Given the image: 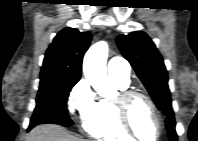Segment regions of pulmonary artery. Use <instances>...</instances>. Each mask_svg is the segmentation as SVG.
<instances>
[{
  "instance_id": "pulmonary-artery-1",
  "label": "pulmonary artery",
  "mask_w": 198,
  "mask_h": 141,
  "mask_svg": "<svg viewBox=\"0 0 198 141\" xmlns=\"http://www.w3.org/2000/svg\"><path fill=\"white\" fill-rule=\"evenodd\" d=\"M107 70L112 81L129 83V67L124 59L120 57L112 58L108 63Z\"/></svg>"
}]
</instances>
